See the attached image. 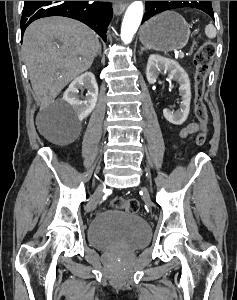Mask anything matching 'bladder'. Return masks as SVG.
<instances>
[{
	"mask_svg": "<svg viewBox=\"0 0 237 300\" xmlns=\"http://www.w3.org/2000/svg\"><path fill=\"white\" fill-rule=\"evenodd\" d=\"M150 236V227L143 218L119 210L98 213L88 227L89 242L100 249L139 248L148 243Z\"/></svg>",
	"mask_w": 237,
	"mask_h": 300,
	"instance_id": "1",
	"label": "bladder"
}]
</instances>
